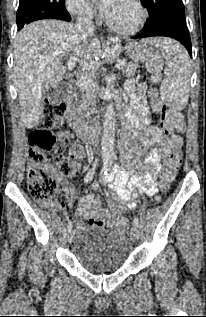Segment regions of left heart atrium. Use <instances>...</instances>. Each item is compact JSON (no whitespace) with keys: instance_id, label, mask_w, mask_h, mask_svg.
<instances>
[{"instance_id":"1","label":"left heart atrium","mask_w":206,"mask_h":317,"mask_svg":"<svg viewBox=\"0 0 206 317\" xmlns=\"http://www.w3.org/2000/svg\"><path fill=\"white\" fill-rule=\"evenodd\" d=\"M115 0H99L98 7L104 16H107L111 8L113 7Z\"/></svg>"}]
</instances>
